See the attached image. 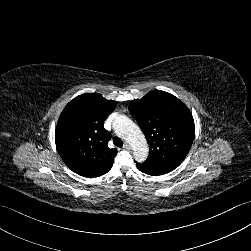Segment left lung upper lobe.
Listing matches in <instances>:
<instances>
[{"label":"left lung upper lobe","mask_w":251,"mask_h":251,"mask_svg":"<svg viewBox=\"0 0 251 251\" xmlns=\"http://www.w3.org/2000/svg\"><path fill=\"white\" fill-rule=\"evenodd\" d=\"M149 142L148 161L178 167L194 139V120L189 109L174 95L156 90L129 104Z\"/></svg>","instance_id":"obj_1"}]
</instances>
